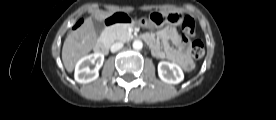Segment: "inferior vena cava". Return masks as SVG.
Here are the masks:
<instances>
[{"label":"inferior vena cava","mask_w":276,"mask_h":120,"mask_svg":"<svg viewBox=\"0 0 276 120\" xmlns=\"http://www.w3.org/2000/svg\"><path fill=\"white\" fill-rule=\"evenodd\" d=\"M122 47H123V43H121V42L114 43V44L111 46V52L114 53V52L120 50Z\"/></svg>","instance_id":"inferior-vena-cava-1"}]
</instances>
